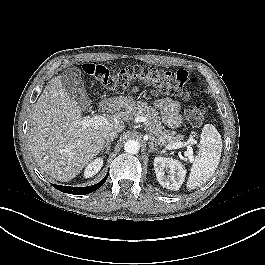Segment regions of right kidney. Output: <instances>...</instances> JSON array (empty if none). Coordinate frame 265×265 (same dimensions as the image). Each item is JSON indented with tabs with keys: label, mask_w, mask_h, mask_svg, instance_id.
Returning a JSON list of instances; mask_svg holds the SVG:
<instances>
[{
	"label": "right kidney",
	"mask_w": 265,
	"mask_h": 265,
	"mask_svg": "<svg viewBox=\"0 0 265 265\" xmlns=\"http://www.w3.org/2000/svg\"><path fill=\"white\" fill-rule=\"evenodd\" d=\"M103 166V159L102 158H96L94 161L89 163L84 171V177L90 178L94 175H96L101 167Z\"/></svg>",
	"instance_id": "1"
}]
</instances>
